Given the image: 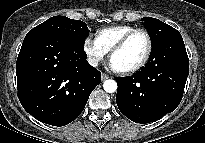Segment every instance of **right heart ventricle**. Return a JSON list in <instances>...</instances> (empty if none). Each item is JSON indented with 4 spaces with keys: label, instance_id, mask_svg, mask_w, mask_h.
I'll list each match as a JSON object with an SVG mask.
<instances>
[{
    "label": "right heart ventricle",
    "instance_id": "e07e8e85",
    "mask_svg": "<svg viewBox=\"0 0 205 143\" xmlns=\"http://www.w3.org/2000/svg\"><path fill=\"white\" fill-rule=\"evenodd\" d=\"M135 27L131 25H118L101 29L96 33V40L107 51H111L113 46L129 31Z\"/></svg>",
    "mask_w": 205,
    "mask_h": 143
}]
</instances>
